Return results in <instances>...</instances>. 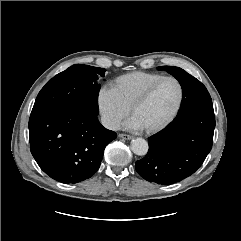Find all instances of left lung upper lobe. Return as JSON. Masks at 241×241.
I'll list each match as a JSON object with an SVG mask.
<instances>
[{
    "label": "left lung upper lobe",
    "instance_id": "obj_1",
    "mask_svg": "<svg viewBox=\"0 0 241 241\" xmlns=\"http://www.w3.org/2000/svg\"><path fill=\"white\" fill-rule=\"evenodd\" d=\"M159 69L173 75L182 87L183 99L177 117L200 108L213 107L209 92L195 77L179 67L162 66Z\"/></svg>",
    "mask_w": 241,
    "mask_h": 241
}]
</instances>
